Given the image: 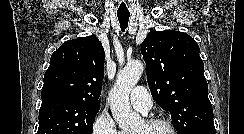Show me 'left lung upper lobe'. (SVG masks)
<instances>
[{
	"mask_svg": "<svg viewBox=\"0 0 244 134\" xmlns=\"http://www.w3.org/2000/svg\"><path fill=\"white\" fill-rule=\"evenodd\" d=\"M141 53L151 94L170 113L178 134L216 132L196 41L179 31H151Z\"/></svg>",
	"mask_w": 244,
	"mask_h": 134,
	"instance_id": "5c2ea615",
	"label": "left lung upper lobe"
}]
</instances>
